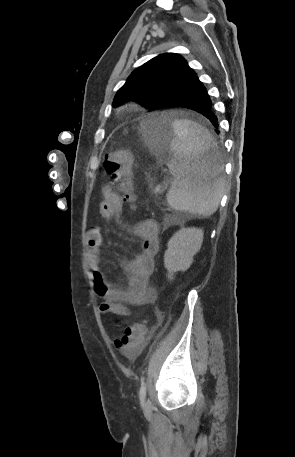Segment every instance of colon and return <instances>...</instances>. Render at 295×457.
I'll return each mask as SVG.
<instances>
[{
	"instance_id": "colon-1",
	"label": "colon",
	"mask_w": 295,
	"mask_h": 457,
	"mask_svg": "<svg viewBox=\"0 0 295 457\" xmlns=\"http://www.w3.org/2000/svg\"><path fill=\"white\" fill-rule=\"evenodd\" d=\"M104 168L111 177V182L122 192V199L133 202V168L132 156L129 151L116 149L108 153L104 159ZM146 327L144 322H136L127 326L123 335L116 341V346L125 353L138 349L145 341Z\"/></svg>"
}]
</instances>
